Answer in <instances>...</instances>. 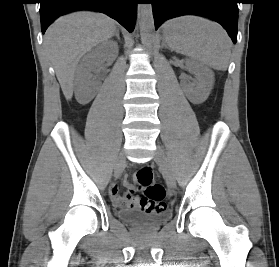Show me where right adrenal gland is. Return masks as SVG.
Segmentation results:
<instances>
[{"label": "right adrenal gland", "mask_w": 279, "mask_h": 267, "mask_svg": "<svg viewBox=\"0 0 279 267\" xmlns=\"http://www.w3.org/2000/svg\"><path fill=\"white\" fill-rule=\"evenodd\" d=\"M113 36H116L117 39L120 41V36H119V30L116 29L115 33L113 34Z\"/></svg>", "instance_id": "right-adrenal-gland-1"}]
</instances>
